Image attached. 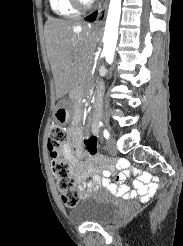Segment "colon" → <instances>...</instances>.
I'll return each instance as SVG.
<instances>
[{"label":"colon","mask_w":183,"mask_h":246,"mask_svg":"<svg viewBox=\"0 0 183 246\" xmlns=\"http://www.w3.org/2000/svg\"><path fill=\"white\" fill-rule=\"evenodd\" d=\"M58 122L62 123L66 119L65 109L59 108L56 113ZM66 141V134L60 125H54L49 130L48 148L52 157V172L56 179L58 191L65 206L69 208L76 207L80 202L79 188L76 180L70 174V165L64 160L60 151ZM84 146L90 157H99V150L97 146V139L93 133L84 140ZM149 177H152L149 175ZM159 187L164 185L161 180Z\"/></svg>","instance_id":"obj_1"}]
</instances>
